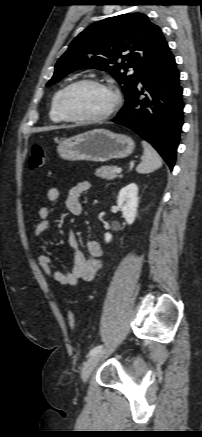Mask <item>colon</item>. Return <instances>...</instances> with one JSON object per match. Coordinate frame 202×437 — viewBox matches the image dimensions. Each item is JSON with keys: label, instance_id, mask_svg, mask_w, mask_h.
Wrapping results in <instances>:
<instances>
[{"label": "colon", "instance_id": "1", "mask_svg": "<svg viewBox=\"0 0 202 437\" xmlns=\"http://www.w3.org/2000/svg\"><path fill=\"white\" fill-rule=\"evenodd\" d=\"M45 150L40 145H34L31 150V156L29 160V168L31 170L41 169L45 164ZM67 322L70 329L76 328V316L73 311L68 312Z\"/></svg>", "mask_w": 202, "mask_h": 437}]
</instances>
